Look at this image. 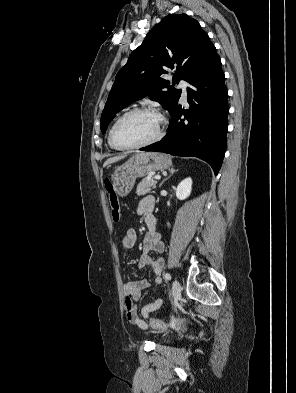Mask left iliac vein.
I'll return each mask as SVG.
<instances>
[{"label": "left iliac vein", "instance_id": "1", "mask_svg": "<svg viewBox=\"0 0 296 393\" xmlns=\"http://www.w3.org/2000/svg\"><path fill=\"white\" fill-rule=\"evenodd\" d=\"M172 297L178 298L181 295V285L178 280H174L172 283Z\"/></svg>", "mask_w": 296, "mask_h": 393}]
</instances>
